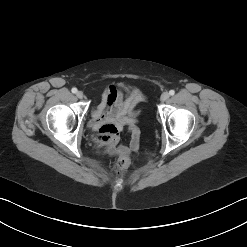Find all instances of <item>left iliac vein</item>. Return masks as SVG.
<instances>
[{"label":"left iliac vein","instance_id":"left-iliac-vein-1","mask_svg":"<svg viewBox=\"0 0 247 247\" xmlns=\"http://www.w3.org/2000/svg\"><path fill=\"white\" fill-rule=\"evenodd\" d=\"M169 93L168 92H164L162 95H161V101L162 102H165L169 99Z\"/></svg>","mask_w":247,"mask_h":247}]
</instances>
